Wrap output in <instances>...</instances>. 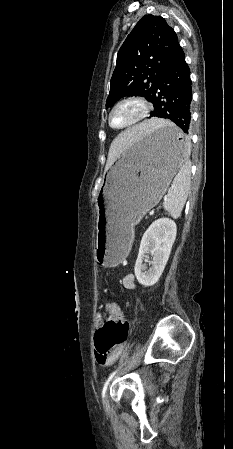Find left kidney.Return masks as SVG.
<instances>
[{
    "instance_id": "left-kidney-1",
    "label": "left kidney",
    "mask_w": 233,
    "mask_h": 449,
    "mask_svg": "<svg viewBox=\"0 0 233 449\" xmlns=\"http://www.w3.org/2000/svg\"><path fill=\"white\" fill-rule=\"evenodd\" d=\"M176 233L175 222L168 218L155 220L146 230L134 268L135 276L141 285L149 287L159 280L169 259ZM146 254L152 256V261L149 263V270L144 272L147 269V265L143 264Z\"/></svg>"
}]
</instances>
